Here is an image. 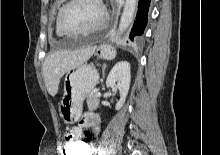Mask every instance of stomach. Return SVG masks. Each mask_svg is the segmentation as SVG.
<instances>
[{"label":"stomach","mask_w":220,"mask_h":155,"mask_svg":"<svg viewBox=\"0 0 220 155\" xmlns=\"http://www.w3.org/2000/svg\"><path fill=\"white\" fill-rule=\"evenodd\" d=\"M96 53L100 58L112 59L116 51L110 46H100ZM99 74L90 65L82 64L68 72L64 81V91L59 102V113L66 124L78 121L82 114L83 102L98 83Z\"/></svg>","instance_id":"1"}]
</instances>
